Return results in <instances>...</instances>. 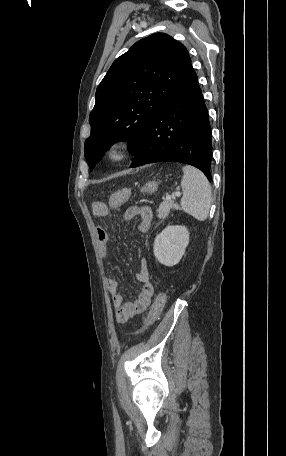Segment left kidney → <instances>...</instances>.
<instances>
[{
	"label": "left kidney",
	"mask_w": 286,
	"mask_h": 456,
	"mask_svg": "<svg viewBox=\"0 0 286 456\" xmlns=\"http://www.w3.org/2000/svg\"><path fill=\"white\" fill-rule=\"evenodd\" d=\"M189 243V232L184 226H167L154 240V256L165 266L179 263Z\"/></svg>",
	"instance_id": "left-kidney-1"
}]
</instances>
